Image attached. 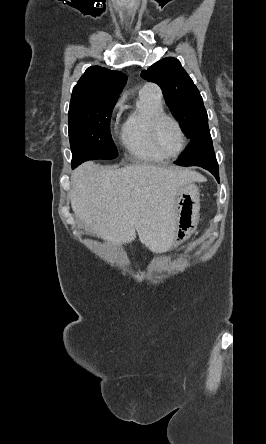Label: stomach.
Returning a JSON list of instances; mask_svg holds the SVG:
<instances>
[{
	"mask_svg": "<svg viewBox=\"0 0 266 444\" xmlns=\"http://www.w3.org/2000/svg\"><path fill=\"white\" fill-rule=\"evenodd\" d=\"M199 210L198 187L192 182L182 185L174 197V241H182L194 231L199 219Z\"/></svg>",
	"mask_w": 266,
	"mask_h": 444,
	"instance_id": "0dacf381",
	"label": "stomach"
}]
</instances>
